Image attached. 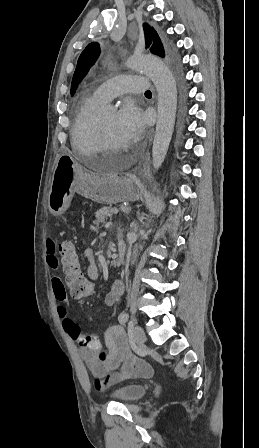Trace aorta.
Listing matches in <instances>:
<instances>
[{
  "label": "aorta",
  "instance_id": "aorta-1",
  "mask_svg": "<svg viewBox=\"0 0 259 448\" xmlns=\"http://www.w3.org/2000/svg\"><path fill=\"white\" fill-rule=\"evenodd\" d=\"M128 66L146 74L153 81L158 92V115L152 147V162L154 169H159L166 157L175 125L176 82L168 66L157 57L134 56L128 61Z\"/></svg>",
  "mask_w": 259,
  "mask_h": 448
}]
</instances>
